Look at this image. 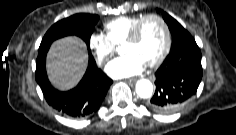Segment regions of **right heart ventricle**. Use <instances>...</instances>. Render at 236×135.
<instances>
[{
	"mask_svg": "<svg viewBox=\"0 0 236 135\" xmlns=\"http://www.w3.org/2000/svg\"><path fill=\"white\" fill-rule=\"evenodd\" d=\"M144 15L120 16L104 24L106 36L115 45L120 46L130 34L133 26Z\"/></svg>",
	"mask_w": 236,
	"mask_h": 135,
	"instance_id": "1",
	"label": "right heart ventricle"
}]
</instances>
